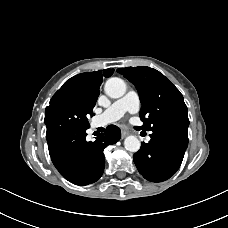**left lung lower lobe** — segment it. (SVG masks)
<instances>
[{
  "mask_svg": "<svg viewBox=\"0 0 228 228\" xmlns=\"http://www.w3.org/2000/svg\"><path fill=\"white\" fill-rule=\"evenodd\" d=\"M133 156L138 171L152 182L169 179L179 169L188 146V129L165 127L152 131Z\"/></svg>",
  "mask_w": 228,
  "mask_h": 228,
  "instance_id": "left-lung-lower-lobe-1",
  "label": "left lung lower lobe"
}]
</instances>
